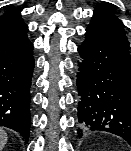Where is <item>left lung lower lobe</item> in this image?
Listing matches in <instances>:
<instances>
[{
	"label": "left lung lower lobe",
	"instance_id": "1",
	"mask_svg": "<svg viewBox=\"0 0 131 151\" xmlns=\"http://www.w3.org/2000/svg\"><path fill=\"white\" fill-rule=\"evenodd\" d=\"M77 135L105 131L131 144V55L86 34L78 47Z\"/></svg>",
	"mask_w": 131,
	"mask_h": 151
}]
</instances>
